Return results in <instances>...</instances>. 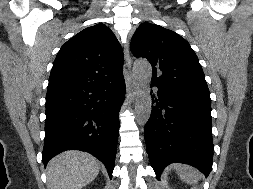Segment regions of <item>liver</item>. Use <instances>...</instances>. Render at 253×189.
<instances>
[{"label": "liver", "mask_w": 253, "mask_h": 189, "mask_svg": "<svg viewBox=\"0 0 253 189\" xmlns=\"http://www.w3.org/2000/svg\"><path fill=\"white\" fill-rule=\"evenodd\" d=\"M99 169V161L86 152H62L47 166L48 189H82L97 177Z\"/></svg>", "instance_id": "6515ba94"}]
</instances>
